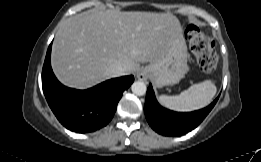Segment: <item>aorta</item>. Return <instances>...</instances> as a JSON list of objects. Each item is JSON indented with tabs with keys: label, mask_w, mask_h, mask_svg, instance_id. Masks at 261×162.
Wrapping results in <instances>:
<instances>
[{
	"label": "aorta",
	"mask_w": 261,
	"mask_h": 162,
	"mask_svg": "<svg viewBox=\"0 0 261 162\" xmlns=\"http://www.w3.org/2000/svg\"><path fill=\"white\" fill-rule=\"evenodd\" d=\"M132 92L137 96H143L146 94L147 87L144 82L136 81L131 86Z\"/></svg>",
	"instance_id": "762f6f07"
}]
</instances>
